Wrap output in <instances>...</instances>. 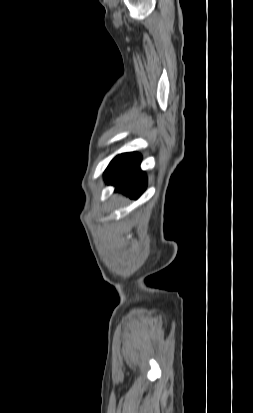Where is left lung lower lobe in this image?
Instances as JSON below:
<instances>
[{"instance_id":"1","label":"left lung lower lobe","mask_w":253,"mask_h":413,"mask_svg":"<svg viewBox=\"0 0 253 413\" xmlns=\"http://www.w3.org/2000/svg\"><path fill=\"white\" fill-rule=\"evenodd\" d=\"M140 162L141 155L136 152L116 156L104 172L106 183L114 185L116 191L138 198L147 185L146 175L140 170Z\"/></svg>"}]
</instances>
